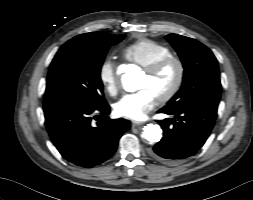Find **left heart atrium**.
<instances>
[{
	"label": "left heart atrium",
	"mask_w": 253,
	"mask_h": 200,
	"mask_svg": "<svg viewBox=\"0 0 253 200\" xmlns=\"http://www.w3.org/2000/svg\"><path fill=\"white\" fill-rule=\"evenodd\" d=\"M156 95L147 88L123 96L114 106L120 117L141 121L155 107Z\"/></svg>",
	"instance_id": "39dd6f15"
}]
</instances>
